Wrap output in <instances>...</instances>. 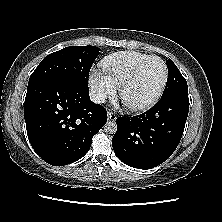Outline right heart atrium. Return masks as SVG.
Wrapping results in <instances>:
<instances>
[{"label":"right heart atrium","instance_id":"right-heart-atrium-1","mask_svg":"<svg viewBox=\"0 0 222 222\" xmlns=\"http://www.w3.org/2000/svg\"><path fill=\"white\" fill-rule=\"evenodd\" d=\"M89 87L93 99L98 103H102L116 94V86L106 75L97 70H92L90 73Z\"/></svg>","mask_w":222,"mask_h":222}]
</instances>
